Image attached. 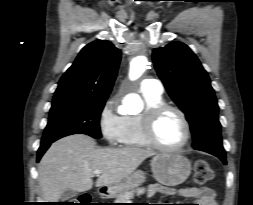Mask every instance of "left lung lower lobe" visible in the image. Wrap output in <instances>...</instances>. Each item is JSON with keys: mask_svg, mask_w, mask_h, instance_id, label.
Returning a JSON list of instances; mask_svg holds the SVG:
<instances>
[{"mask_svg": "<svg viewBox=\"0 0 253 205\" xmlns=\"http://www.w3.org/2000/svg\"><path fill=\"white\" fill-rule=\"evenodd\" d=\"M216 157H218L224 164H226V156H221V155H218V154H212Z\"/></svg>", "mask_w": 253, "mask_h": 205, "instance_id": "left-lung-lower-lobe-1", "label": "left lung lower lobe"}]
</instances>
